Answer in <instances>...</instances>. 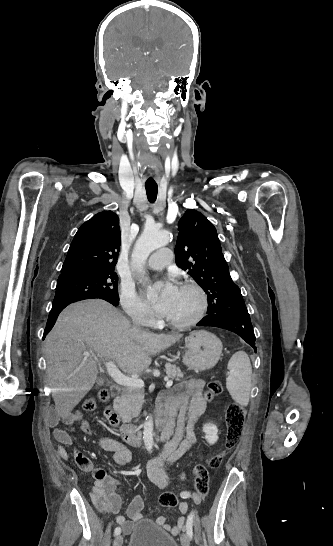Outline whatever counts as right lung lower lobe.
I'll list each match as a JSON object with an SVG mask.
<instances>
[{"mask_svg":"<svg viewBox=\"0 0 333 546\" xmlns=\"http://www.w3.org/2000/svg\"><path fill=\"white\" fill-rule=\"evenodd\" d=\"M101 299H104L108 302H110L112 305L114 306H118L119 305V300H116V299H113V298H110V297H103ZM70 303L72 302H68V303H60V304H54L52 306V309L49 313V317H48V320H47V324H46V329L44 331V338H45V335H47L49 333V331L52 329V327L54 326L55 324V321L59 315V313L67 306L69 305Z\"/></svg>","mask_w":333,"mask_h":546,"instance_id":"1","label":"right lung lower lobe"}]
</instances>
